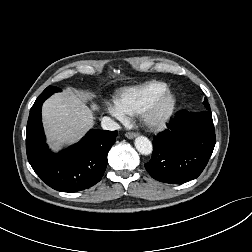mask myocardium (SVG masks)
Returning a JSON list of instances; mask_svg holds the SVG:
<instances>
[{
  "mask_svg": "<svg viewBox=\"0 0 252 252\" xmlns=\"http://www.w3.org/2000/svg\"><path fill=\"white\" fill-rule=\"evenodd\" d=\"M177 102V95L172 89L162 90L142 110L140 114L142 123L153 130L164 128L171 121Z\"/></svg>",
  "mask_w": 252,
  "mask_h": 252,
  "instance_id": "obj_1",
  "label": "myocardium"
}]
</instances>
